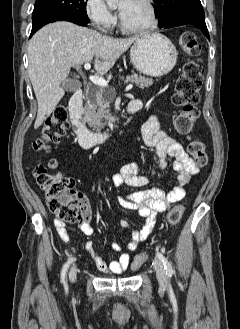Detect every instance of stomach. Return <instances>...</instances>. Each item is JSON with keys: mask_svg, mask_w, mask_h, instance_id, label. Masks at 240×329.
I'll list each match as a JSON object with an SVG mask.
<instances>
[{"mask_svg": "<svg viewBox=\"0 0 240 329\" xmlns=\"http://www.w3.org/2000/svg\"><path fill=\"white\" fill-rule=\"evenodd\" d=\"M178 53L173 43L159 33L138 37L130 50L131 62L144 75L160 77L175 66Z\"/></svg>", "mask_w": 240, "mask_h": 329, "instance_id": "1", "label": "stomach"}]
</instances>
